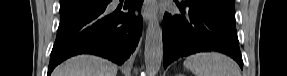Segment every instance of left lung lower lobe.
<instances>
[{"instance_id":"0a47b994","label":"left lung lower lobe","mask_w":287,"mask_h":76,"mask_svg":"<svg viewBox=\"0 0 287 76\" xmlns=\"http://www.w3.org/2000/svg\"><path fill=\"white\" fill-rule=\"evenodd\" d=\"M177 4L181 14L166 13L163 19L164 68L180 57L205 51L227 54L242 68L236 29L193 6Z\"/></svg>"}]
</instances>
